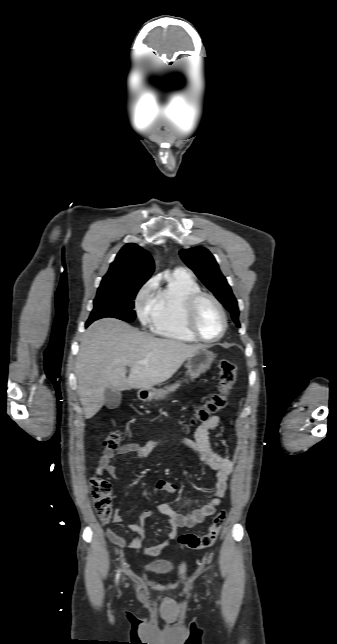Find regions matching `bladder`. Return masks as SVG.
<instances>
[{
	"label": "bladder",
	"mask_w": 337,
	"mask_h": 644,
	"mask_svg": "<svg viewBox=\"0 0 337 644\" xmlns=\"http://www.w3.org/2000/svg\"><path fill=\"white\" fill-rule=\"evenodd\" d=\"M143 568L147 573L153 575H166L174 570V565L169 560L158 559L146 563Z\"/></svg>",
	"instance_id": "bladder-1"
}]
</instances>
